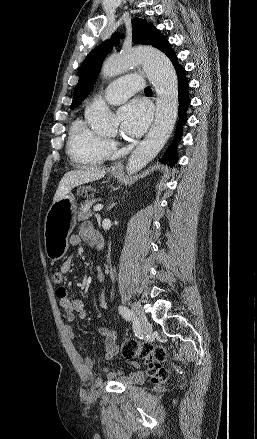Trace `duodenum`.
<instances>
[{
    "label": "duodenum",
    "instance_id": "obj_1",
    "mask_svg": "<svg viewBox=\"0 0 257 439\" xmlns=\"http://www.w3.org/2000/svg\"><path fill=\"white\" fill-rule=\"evenodd\" d=\"M96 246H97L98 249H101L102 248V242H98Z\"/></svg>",
    "mask_w": 257,
    "mask_h": 439
}]
</instances>
